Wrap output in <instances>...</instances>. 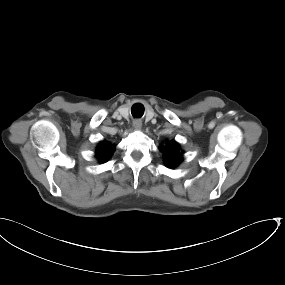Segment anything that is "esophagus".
<instances>
[{"label":"esophagus","mask_w":285,"mask_h":285,"mask_svg":"<svg viewBox=\"0 0 285 285\" xmlns=\"http://www.w3.org/2000/svg\"><path fill=\"white\" fill-rule=\"evenodd\" d=\"M133 127L135 130H140L142 127V121L140 119H135L133 121Z\"/></svg>","instance_id":"esophagus-1"}]
</instances>
